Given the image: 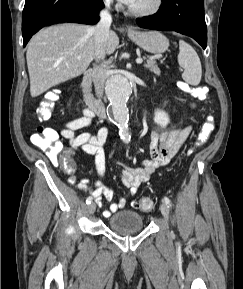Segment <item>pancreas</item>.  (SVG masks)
Wrapping results in <instances>:
<instances>
[{
    "label": "pancreas",
    "instance_id": "obj_1",
    "mask_svg": "<svg viewBox=\"0 0 243 289\" xmlns=\"http://www.w3.org/2000/svg\"><path fill=\"white\" fill-rule=\"evenodd\" d=\"M146 60V63L144 64V67L149 68L150 71H152L154 74L156 75H160V69L158 68L156 62L152 59H147L144 58Z\"/></svg>",
    "mask_w": 243,
    "mask_h": 289
}]
</instances>
